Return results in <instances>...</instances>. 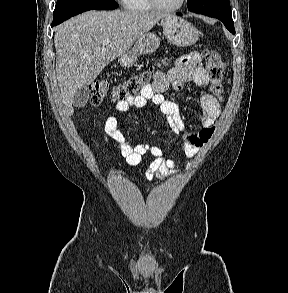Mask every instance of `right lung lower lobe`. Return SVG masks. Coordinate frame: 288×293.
I'll use <instances>...</instances> for the list:
<instances>
[{"instance_id": "1", "label": "right lung lower lobe", "mask_w": 288, "mask_h": 293, "mask_svg": "<svg viewBox=\"0 0 288 293\" xmlns=\"http://www.w3.org/2000/svg\"><path fill=\"white\" fill-rule=\"evenodd\" d=\"M56 25H58V24H53V23H52V25H51V26L53 27V26H56Z\"/></svg>"}]
</instances>
